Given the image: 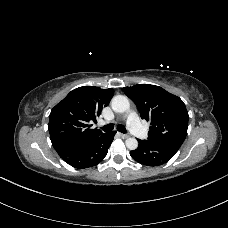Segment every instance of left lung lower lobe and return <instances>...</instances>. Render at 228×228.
Segmentation results:
<instances>
[{
  "mask_svg": "<svg viewBox=\"0 0 228 228\" xmlns=\"http://www.w3.org/2000/svg\"><path fill=\"white\" fill-rule=\"evenodd\" d=\"M139 146L130 155L137 162L147 166H158L168 162L181 145L171 142L138 140Z\"/></svg>",
  "mask_w": 228,
  "mask_h": 228,
  "instance_id": "obj_1",
  "label": "left lung lower lobe"
}]
</instances>
